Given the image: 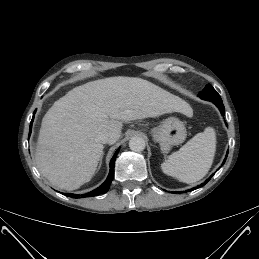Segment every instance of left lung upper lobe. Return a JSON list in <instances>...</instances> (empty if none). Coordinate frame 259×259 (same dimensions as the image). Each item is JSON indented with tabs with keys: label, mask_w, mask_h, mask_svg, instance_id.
I'll return each mask as SVG.
<instances>
[{
	"label": "left lung upper lobe",
	"mask_w": 259,
	"mask_h": 259,
	"mask_svg": "<svg viewBox=\"0 0 259 259\" xmlns=\"http://www.w3.org/2000/svg\"><path fill=\"white\" fill-rule=\"evenodd\" d=\"M199 96H200V98L211 101V102L222 101L220 95L210 84H208L205 87V89L199 94Z\"/></svg>",
	"instance_id": "left-lung-upper-lobe-1"
}]
</instances>
